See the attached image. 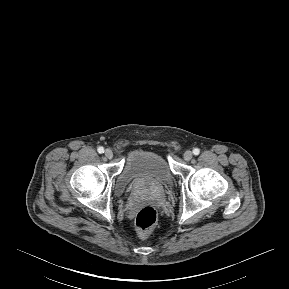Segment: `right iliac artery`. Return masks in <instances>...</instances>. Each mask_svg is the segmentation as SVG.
Listing matches in <instances>:
<instances>
[{"instance_id": "right-iliac-artery-1", "label": "right iliac artery", "mask_w": 289, "mask_h": 289, "mask_svg": "<svg viewBox=\"0 0 289 289\" xmlns=\"http://www.w3.org/2000/svg\"><path fill=\"white\" fill-rule=\"evenodd\" d=\"M97 151L102 154L104 152V148L103 147H98Z\"/></svg>"}]
</instances>
